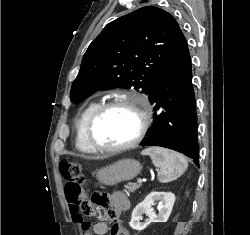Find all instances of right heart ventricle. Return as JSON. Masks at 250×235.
<instances>
[{
	"instance_id": "e07e8e85",
	"label": "right heart ventricle",
	"mask_w": 250,
	"mask_h": 235,
	"mask_svg": "<svg viewBox=\"0 0 250 235\" xmlns=\"http://www.w3.org/2000/svg\"><path fill=\"white\" fill-rule=\"evenodd\" d=\"M99 105L100 102L98 100L88 102L82 108L76 120L75 146L77 150L83 154L91 155L96 153V151L89 146L85 138V127L89 117Z\"/></svg>"
}]
</instances>
